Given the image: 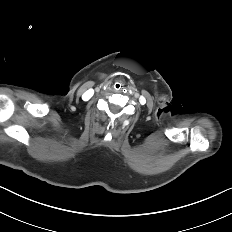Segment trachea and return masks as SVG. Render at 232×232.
<instances>
[{
    "instance_id": "trachea-1",
    "label": "trachea",
    "mask_w": 232,
    "mask_h": 232,
    "mask_svg": "<svg viewBox=\"0 0 232 232\" xmlns=\"http://www.w3.org/2000/svg\"><path fill=\"white\" fill-rule=\"evenodd\" d=\"M123 87H124L123 83H122V82H119V81H117V82H115V83L113 84V88H114L116 91H121V90L123 89Z\"/></svg>"
}]
</instances>
